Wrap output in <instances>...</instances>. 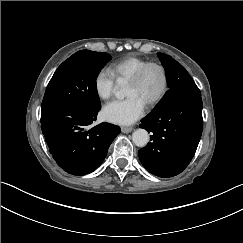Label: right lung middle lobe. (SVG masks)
Returning a JSON list of instances; mask_svg holds the SVG:
<instances>
[{
  "label": "right lung middle lobe",
  "instance_id": "dd1d6c3e",
  "mask_svg": "<svg viewBox=\"0 0 243 243\" xmlns=\"http://www.w3.org/2000/svg\"><path fill=\"white\" fill-rule=\"evenodd\" d=\"M110 59L107 53L81 50L64 61L46 88L41 115L65 106L101 108L96 78Z\"/></svg>",
  "mask_w": 243,
  "mask_h": 243
}]
</instances>
